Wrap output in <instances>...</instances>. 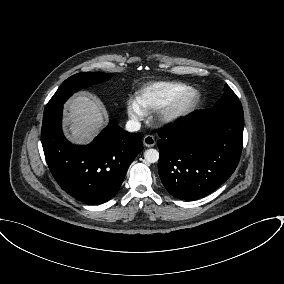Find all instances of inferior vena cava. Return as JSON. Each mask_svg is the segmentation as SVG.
<instances>
[{
    "instance_id": "602c4592",
    "label": "inferior vena cava",
    "mask_w": 284,
    "mask_h": 284,
    "mask_svg": "<svg viewBox=\"0 0 284 284\" xmlns=\"http://www.w3.org/2000/svg\"><path fill=\"white\" fill-rule=\"evenodd\" d=\"M141 128V123L135 120H129L126 123V130L128 132H136Z\"/></svg>"
}]
</instances>
